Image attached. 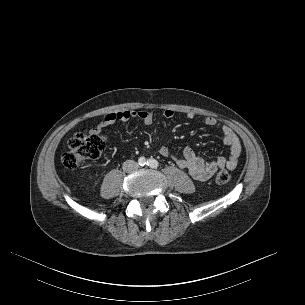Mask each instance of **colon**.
<instances>
[{
  "mask_svg": "<svg viewBox=\"0 0 305 305\" xmlns=\"http://www.w3.org/2000/svg\"><path fill=\"white\" fill-rule=\"evenodd\" d=\"M106 146V137L102 133L83 131L74 134L68 141V149L62 155V163L68 169H76L85 165L88 161L97 159ZM215 180L218 184H226L230 181V173L221 170Z\"/></svg>",
  "mask_w": 305,
  "mask_h": 305,
  "instance_id": "colon-1",
  "label": "colon"
}]
</instances>
